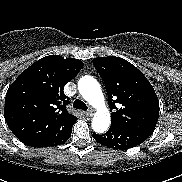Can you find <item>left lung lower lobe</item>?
<instances>
[{
    "mask_svg": "<svg viewBox=\"0 0 182 182\" xmlns=\"http://www.w3.org/2000/svg\"><path fill=\"white\" fill-rule=\"evenodd\" d=\"M149 133L119 126H111L105 134L93 133V138L100 144L113 148L127 150L144 142Z\"/></svg>",
    "mask_w": 182,
    "mask_h": 182,
    "instance_id": "1",
    "label": "left lung lower lobe"
}]
</instances>
